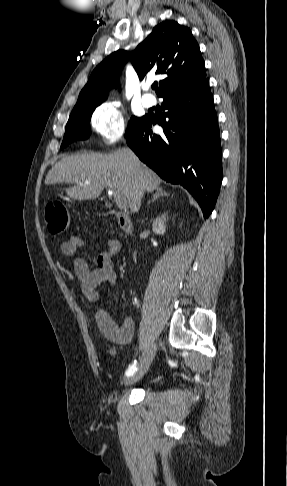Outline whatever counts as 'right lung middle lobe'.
I'll list each match as a JSON object with an SVG mask.
<instances>
[{
  "label": "right lung middle lobe",
  "instance_id": "1",
  "mask_svg": "<svg viewBox=\"0 0 287 486\" xmlns=\"http://www.w3.org/2000/svg\"><path fill=\"white\" fill-rule=\"evenodd\" d=\"M98 105L92 106L82 112L70 114L69 120L65 128V135L61 148H64L73 141L85 139L88 133V126L90 123L91 115ZM142 119L143 117H131L125 137H127L129 133L139 125Z\"/></svg>",
  "mask_w": 287,
  "mask_h": 486
}]
</instances>
